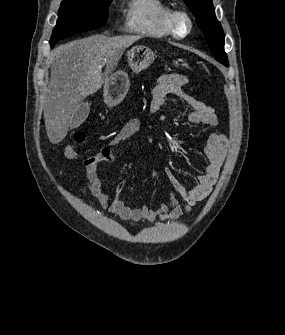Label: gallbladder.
Here are the masks:
<instances>
[{
	"label": "gallbladder",
	"instance_id": "bac80fb5",
	"mask_svg": "<svg viewBox=\"0 0 285 335\" xmlns=\"http://www.w3.org/2000/svg\"><path fill=\"white\" fill-rule=\"evenodd\" d=\"M89 112L90 106L88 102H82V104H79L74 112L72 124H70L71 130H73V128H78V126H81V124L85 122L86 118H88Z\"/></svg>",
	"mask_w": 285,
	"mask_h": 335
}]
</instances>
